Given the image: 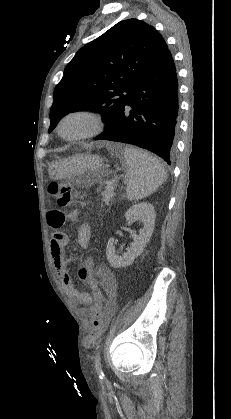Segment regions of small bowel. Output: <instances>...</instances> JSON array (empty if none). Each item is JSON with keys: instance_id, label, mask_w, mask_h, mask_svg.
Returning a JSON list of instances; mask_svg holds the SVG:
<instances>
[{"instance_id": "small-bowel-1", "label": "small bowel", "mask_w": 231, "mask_h": 419, "mask_svg": "<svg viewBox=\"0 0 231 419\" xmlns=\"http://www.w3.org/2000/svg\"><path fill=\"white\" fill-rule=\"evenodd\" d=\"M77 217L76 212L64 214L60 211H52L47 215L48 224L53 228H59V221L64 225L68 221H73ZM90 226L88 223L82 224L79 234L78 242L83 248H87L90 241ZM68 236L66 233L58 231L52 235L50 243V252L53 265L56 269L57 275L63 285L65 291L79 304L81 311H85L86 307L93 302V297L81 290L74 287L70 274L68 271L69 260L65 256V247L68 244ZM97 275L101 284L107 294V303L109 306V313H111L115 306V282L111 274L103 267L97 269Z\"/></svg>"}]
</instances>
